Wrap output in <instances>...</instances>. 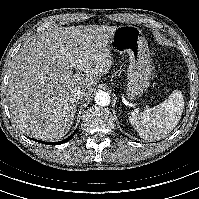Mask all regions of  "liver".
I'll use <instances>...</instances> for the list:
<instances>
[{"label": "liver", "mask_w": 199, "mask_h": 199, "mask_svg": "<svg viewBox=\"0 0 199 199\" xmlns=\"http://www.w3.org/2000/svg\"><path fill=\"white\" fill-rule=\"evenodd\" d=\"M117 28L50 29L20 49L8 75L7 94L11 115L22 132L45 141L69 132L78 104L71 91L79 88L85 99L90 98L112 65L109 42Z\"/></svg>", "instance_id": "obj_1"}]
</instances>
